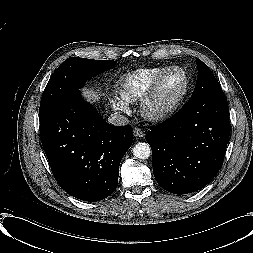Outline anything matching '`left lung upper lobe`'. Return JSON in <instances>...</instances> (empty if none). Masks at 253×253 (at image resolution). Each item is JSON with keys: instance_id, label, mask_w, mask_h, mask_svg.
Masks as SVG:
<instances>
[{"instance_id": "5c2ea615", "label": "left lung upper lobe", "mask_w": 253, "mask_h": 253, "mask_svg": "<svg viewBox=\"0 0 253 253\" xmlns=\"http://www.w3.org/2000/svg\"><path fill=\"white\" fill-rule=\"evenodd\" d=\"M196 62L198 66V77L191 100H198L201 104H206L216 96L224 93L208 66L200 59H197Z\"/></svg>"}]
</instances>
